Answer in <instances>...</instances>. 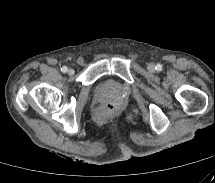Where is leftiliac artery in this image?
Wrapping results in <instances>:
<instances>
[{"mask_svg":"<svg viewBox=\"0 0 215 183\" xmlns=\"http://www.w3.org/2000/svg\"><path fill=\"white\" fill-rule=\"evenodd\" d=\"M155 69L158 70V71H161L162 70V65L161 64H157L155 66Z\"/></svg>","mask_w":215,"mask_h":183,"instance_id":"obj_1","label":"left iliac artery"}]
</instances>
